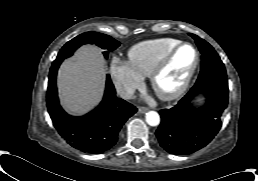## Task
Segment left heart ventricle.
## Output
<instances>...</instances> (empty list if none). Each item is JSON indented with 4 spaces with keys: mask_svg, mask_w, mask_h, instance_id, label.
I'll use <instances>...</instances> for the list:
<instances>
[{
    "mask_svg": "<svg viewBox=\"0 0 258 181\" xmlns=\"http://www.w3.org/2000/svg\"><path fill=\"white\" fill-rule=\"evenodd\" d=\"M195 61V53L189 46L182 47L171 64L158 79V88L165 92L176 89L184 80Z\"/></svg>",
    "mask_w": 258,
    "mask_h": 181,
    "instance_id": "left-heart-ventricle-1",
    "label": "left heart ventricle"
}]
</instances>
